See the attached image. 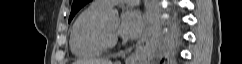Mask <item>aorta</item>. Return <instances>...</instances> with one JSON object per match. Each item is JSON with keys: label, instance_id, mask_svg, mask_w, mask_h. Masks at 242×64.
Returning a JSON list of instances; mask_svg holds the SVG:
<instances>
[{"label": "aorta", "instance_id": "762f6f07", "mask_svg": "<svg viewBox=\"0 0 242 64\" xmlns=\"http://www.w3.org/2000/svg\"><path fill=\"white\" fill-rule=\"evenodd\" d=\"M109 16L110 18L114 19V20H118L119 19V13L116 9H112L109 12Z\"/></svg>", "mask_w": 242, "mask_h": 64}]
</instances>
